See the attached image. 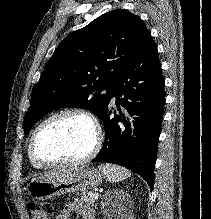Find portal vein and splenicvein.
<instances>
[{
  "instance_id": "1",
  "label": "portal vein and splenic vein",
  "mask_w": 211,
  "mask_h": 219,
  "mask_svg": "<svg viewBox=\"0 0 211 219\" xmlns=\"http://www.w3.org/2000/svg\"><path fill=\"white\" fill-rule=\"evenodd\" d=\"M98 197H99V193H98V192H95V193L93 194V198H94V199H98Z\"/></svg>"
}]
</instances>
